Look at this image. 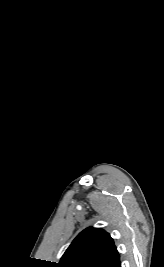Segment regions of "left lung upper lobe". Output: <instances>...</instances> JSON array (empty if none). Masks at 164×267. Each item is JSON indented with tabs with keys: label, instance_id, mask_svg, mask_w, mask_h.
<instances>
[{
	"label": "left lung upper lobe",
	"instance_id": "left-lung-upper-lobe-1",
	"mask_svg": "<svg viewBox=\"0 0 164 267\" xmlns=\"http://www.w3.org/2000/svg\"><path fill=\"white\" fill-rule=\"evenodd\" d=\"M117 254L108 233L89 227L73 240L57 267H107Z\"/></svg>",
	"mask_w": 164,
	"mask_h": 267
}]
</instances>
